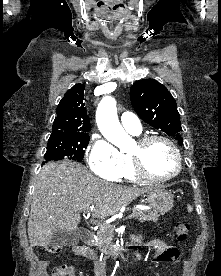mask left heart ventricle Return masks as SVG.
Masks as SVG:
<instances>
[{
  "instance_id": "1",
  "label": "left heart ventricle",
  "mask_w": 221,
  "mask_h": 276,
  "mask_svg": "<svg viewBox=\"0 0 221 276\" xmlns=\"http://www.w3.org/2000/svg\"><path fill=\"white\" fill-rule=\"evenodd\" d=\"M134 145L131 153L137 152ZM143 160L148 172L157 177H164L176 170L177 162L172 148L162 140H155L143 149Z\"/></svg>"
}]
</instances>
